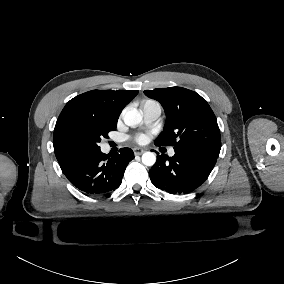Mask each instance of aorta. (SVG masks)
<instances>
[{"label": "aorta", "instance_id": "aorta-1", "mask_svg": "<svg viewBox=\"0 0 284 284\" xmlns=\"http://www.w3.org/2000/svg\"><path fill=\"white\" fill-rule=\"evenodd\" d=\"M123 120L127 126H136L142 121L141 114L134 108L123 111ZM156 162V156L152 152H145L142 155V163L146 166H153Z\"/></svg>", "mask_w": 284, "mask_h": 284}]
</instances>
